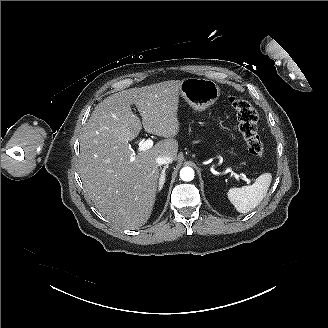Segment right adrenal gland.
I'll return each instance as SVG.
<instances>
[{
  "instance_id": "obj_1",
  "label": "right adrenal gland",
  "mask_w": 328,
  "mask_h": 328,
  "mask_svg": "<svg viewBox=\"0 0 328 328\" xmlns=\"http://www.w3.org/2000/svg\"><path fill=\"white\" fill-rule=\"evenodd\" d=\"M167 167H168V165L164 166V168H163V172H162V176H161V180H160V186H159L160 190L163 189L164 184H165V177H166L165 170Z\"/></svg>"
}]
</instances>
